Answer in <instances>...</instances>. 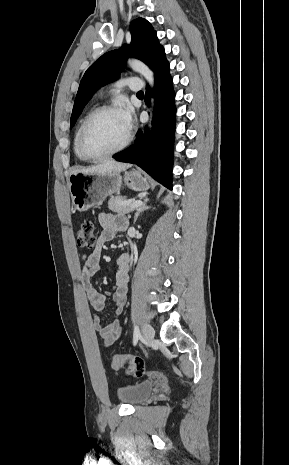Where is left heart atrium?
Here are the masks:
<instances>
[{
  "label": "left heart atrium",
  "mask_w": 289,
  "mask_h": 465,
  "mask_svg": "<svg viewBox=\"0 0 289 465\" xmlns=\"http://www.w3.org/2000/svg\"><path fill=\"white\" fill-rule=\"evenodd\" d=\"M119 113L128 131L131 130L133 125V111L129 105H124L119 109Z\"/></svg>",
  "instance_id": "obj_1"
}]
</instances>
